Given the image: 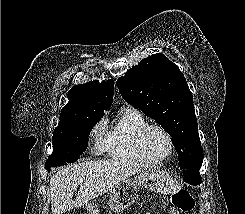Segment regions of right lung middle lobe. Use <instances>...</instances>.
Listing matches in <instances>:
<instances>
[{
  "mask_svg": "<svg viewBox=\"0 0 245 214\" xmlns=\"http://www.w3.org/2000/svg\"><path fill=\"white\" fill-rule=\"evenodd\" d=\"M104 113H90L77 117L71 125L52 137L53 152L48 157L45 168L61 166L78 160L87 149L88 136L93 126L103 117Z\"/></svg>",
  "mask_w": 245,
  "mask_h": 214,
  "instance_id": "obj_1",
  "label": "right lung middle lobe"
}]
</instances>
